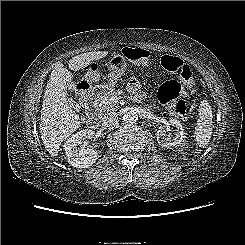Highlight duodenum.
<instances>
[{"label": "duodenum", "instance_id": "duodenum-1", "mask_svg": "<svg viewBox=\"0 0 245 245\" xmlns=\"http://www.w3.org/2000/svg\"><path fill=\"white\" fill-rule=\"evenodd\" d=\"M105 91L104 87H96L93 90H86L81 86L80 100L88 112V123L92 127H97L100 123V113L96 106L98 99L103 95Z\"/></svg>", "mask_w": 245, "mask_h": 245}]
</instances>
